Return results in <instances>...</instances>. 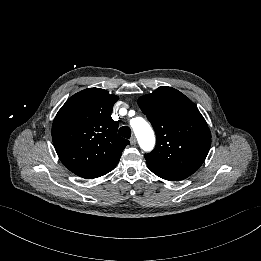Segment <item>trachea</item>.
I'll return each mask as SVG.
<instances>
[{
  "mask_svg": "<svg viewBox=\"0 0 261 261\" xmlns=\"http://www.w3.org/2000/svg\"><path fill=\"white\" fill-rule=\"evenodd\" d=\"M119 135H121L124 138L129 139L131 137V129L128 126H122L119 131Z\"/></svg>",
  "mask_w": 261,
  "mask_h": 261,
  "instance_id": "trachea-1",
  "label": "trachea"
}]
</instances>
